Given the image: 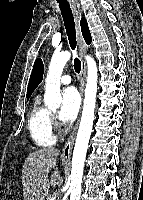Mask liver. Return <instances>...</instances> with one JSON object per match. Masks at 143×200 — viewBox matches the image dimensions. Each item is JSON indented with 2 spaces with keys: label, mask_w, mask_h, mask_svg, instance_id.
Segmentation results:
<instances>
[{
  "label": "liver",
  "mask_w": 143,
  "mask_h": 200,
  "mask_svg": "<svg viewBox=\"0 0 143 200\" xmlns=\"http://www.w3.org/2000/svg\"><path fill=\"white\" fill-rule=\"evenodd\" d=\"M58 149L43 148L28 155L23 164L22 184L24 200H44L50 186H59L60 172L57 168ZM54 169L48 178V173Z\"/></svg>",
  "instance_id": "liver-1"
}]
</instances>
